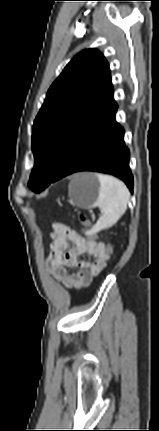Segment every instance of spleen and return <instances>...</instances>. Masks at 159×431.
Instances as JSON below:
<instances>
[{"label":"spleen","mask_w":159,"mask_h":431,"mask_svg":"<svg viewBox=\"0 0 159 431\" xmlns=\"http://www.w3.org/2000/svg\"><path fill=\"white\" fill-rule=\"evenodd\" d=\"M100 182L99 198L96 205L103 214L98 219L91 233L112 227L121 218L127 209L130 198L126 185L109 175L97 173Z\"/></svg>","instance_id":"obj_1"}]
</instances>
